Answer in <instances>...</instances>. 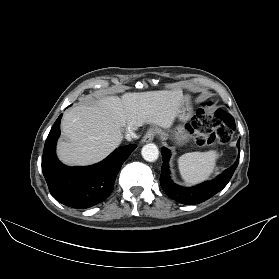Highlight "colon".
Returning a JSON list of instances; mask_svg holds the SVG:
<instances>
[{
    "instance_id": "obj_1",
    "label": "colon",
    "mask_w": 279,
    "mask_h": 279,
    "mask_svg": "<svg viewBox=\"0 0 279 279\" xmlns=\"http://www.w3.org/2000/svg\"><path fill=\"white\" fill-rule=\"evenodd\" d=\"M191 127L196 145L213 147L230 141L235 122L233 117L223 110L211 111L209 107H205L192 120Z\"/></svg>"
}]
</instances>
